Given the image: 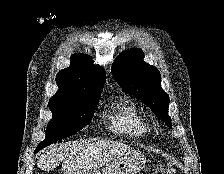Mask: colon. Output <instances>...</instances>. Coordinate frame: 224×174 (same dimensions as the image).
<instances>
[{
    "label": "colon",
    "mask_w": 224,
    "mask_h": 174,
    "mask_svg": "<svg viewBox=\"0 0 224 174\" xmlns=\"http://www.w3.org/2000/svg\"><path fill=\"white\" fill-rule=\"evenodd\" d=\"M156 174H176V170L171 166H160L156 170Z\"/></svg>",
    "instance_id": "1"
}]
</instances>
